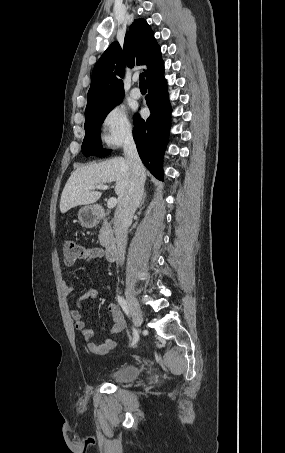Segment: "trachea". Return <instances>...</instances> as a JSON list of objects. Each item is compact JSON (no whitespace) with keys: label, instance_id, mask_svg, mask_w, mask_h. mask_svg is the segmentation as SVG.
Returning a JSON list of instances; mask_svg holds the SVG:
<instances>
[{"label":"trachea","instance_id":"obj_1","mask_svg":"<svg viewBox=\"0 0 285 453\" xmlns=\"http://www.w3.org/2000/svg\"><path fill=\"white\" fill-rule=\"evenodd\" d=\"M139 85L140 86H146V82H145V78H144V73H141L140 76H139Z\"/></svg>","mask_w":285,"mask_h":453}]
</instances>
